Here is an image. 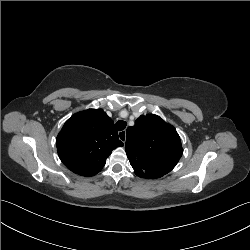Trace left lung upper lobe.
Listing matches in <instances>:
<instances>
[{"mask_svg": "<svg viewBox=\"0 0 250 250\" xmlns=\"http://www.w3.org/2000/svg\"><path fill=\"white\" fill-rule=\"evenodd\" d=\"M125 150L135 174L142 178L147 168L159 176L167 174L183 153L175 128L154 114L141 115L127 128Z\"/></svg>", "mask_w": 250, "mask_h": 250, "instance_id": "obj_1", "label": "left lung upper lobe"}]
</instances>
